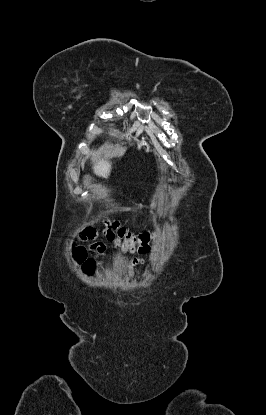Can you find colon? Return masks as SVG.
I'll use <instances>...</instances> for the list:
<instances>
[{"mask_svg": "<svg viewBox=\"0 0 266 415\" xmlns=\"http://www.w3.org/2000/svg\"><path fill=\"white\" fill-rule=\"evenodd\" d=\"M102 232L110 242L117 244L128 252L144 254L149 252L154 245V235L151 232L145 231L135 234L122 227L117 221H106ZM96 234L97 231L94 227H87L82 232V238L91 239L96 236ZM75 256L76 259L79 262H83L89 270L93 268V260L87 257L86 250L83 247H78L75 250Z\"/></svg>", "mask_w": 266, "mask_h": 415, "instance_id": "colon-1", "label": "colon"}]
</instances>
